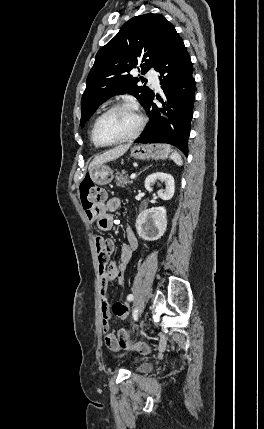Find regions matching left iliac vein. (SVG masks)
Listing matches in <instances>:
<instances>
[{
	"instance_id": "obj_1",
	"label": "left iliac vein",
	"mask_w": 264,
	"mask_h": 429,
	"mask_svg": "<svg viewBox=\"0 0 264 429\" xmlns=\"http://www.w3.org/2000/svg\"><path fill=\"white\" fill-rule=\"evenodd\" d=\"M139 319V328L142 330L144 328L145 319L142 316Z\"/></svg>"
}]
</instances>
